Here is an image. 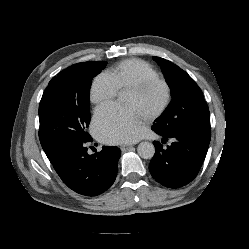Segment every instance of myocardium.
<instances>
[{
  "label": "myocardium",
  "instance_id": "1",
  "mask_svg": "<svg viewBox=\"0 0 249 249\" xmlns=\"http://www.w3.org/2000/svg\"><path fill=\"white\" fill-rule=\"evenodd\" d=\"M155 84H160L163 86L165 90V98L161 106L156 111L148 115L145 118L146 120H154L160 117L168 109L172 100V89L170 84L164 78L154 77V78L145 79L128 89L129 91L134 92L136 94H141Z\"/></svg>",
  "mask_w": 249,
  "mask_h": 249
}]
</instances>
